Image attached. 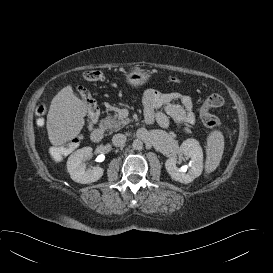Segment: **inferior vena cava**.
<instances>
[{"label": "inferior vena cava", "mask_w": 273, "mask_h": 273, "mask_svg": "<svg viewBox=\"0 0 273 273\" xmlns=\"http://www.w3.org/2000/svg\"><path fill=\"white\" fill-rule=\"evenodd\" d=\"M126 142V136L124 134H115L112 138V143L116 147L123 146Z\"/></svg>", "instance_id": "inferior-vena-cava-1"}]
</instances>
